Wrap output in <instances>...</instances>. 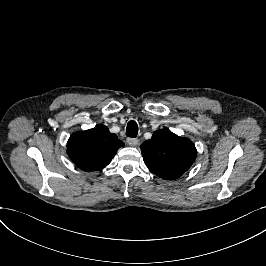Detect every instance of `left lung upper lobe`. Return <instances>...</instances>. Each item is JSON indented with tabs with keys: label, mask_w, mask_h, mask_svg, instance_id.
I'll use <instances>...</instances> for the list:
<instances>
[{
	"label": "left lung upper lobe",
	"mask_w": 266,
	"mask_h": 266,
	"mask_svg": "<svg viewBox=\"0 0 266 266\" xmlns=\"http://www.w3.org/2000/svg\"><path fill=\"white\" fill-rule=\"evenodd\" d=\"M146 166L163 179H177L193 164L197 150L187 138L168 129L157 130L140 146Z\"/></svg>",
	"instance_id": "1"
}]
</instances>
